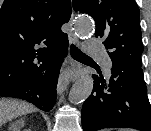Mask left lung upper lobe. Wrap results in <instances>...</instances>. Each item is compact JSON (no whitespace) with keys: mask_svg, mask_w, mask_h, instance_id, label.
<instances>
[{"mask_svg":"<svg viewBox=\"0 0 151 131\" xmlns=\"http://www.w3.org/2000/svg\"><path fill=\"white\" fill-rule=\"evenodd\" d=\"M75 11L87 13L96 23L113 66L141 67L143 52L139 8L134 0H73Z\"/></svg>","mask_w":151,"mask_h":131,"instance_id":"5c2ea615","label":"left lung upper lobe"}]
</instances>
